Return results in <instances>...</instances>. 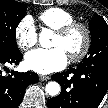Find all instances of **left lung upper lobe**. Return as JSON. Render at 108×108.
<instances>
[{
    "instance_id": "1",
    "label": "left lung upper lobe",
    "mask_w": 108,
    "mask_h": 108,
    "mask_svg": "<svg viewBox=\"0 0 108 108\" xmlns=\"http://www.w3.org/2000/svg\"><path fill=\"white\" fill-rule=\"evenodd\" d=\"M91 34V47L88 55L85 56L79 65H91L93 63L105 62L108 63V25L105 20L95 14L89 24ZM76 90H69L67 98L73 100L76 97Z\"/></svg>"
}]
</instances>
